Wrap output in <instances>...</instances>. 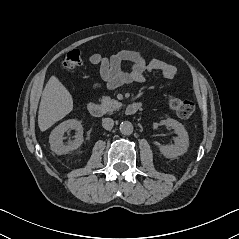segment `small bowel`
Returning <instances> with one entry per match:
<instances>
[{
    "instance_id": "1",
    "label": "small bowel",
    "mask_w": 239,
    "mask_h": 239,
    "mask_svg": "<svg viewBox=\"0 0 239 239\" xmlns=\"http://www.w3.org/2000/svg\"><path fill=\"white\" fill-rule=\"evenodd\" d=\"M123 61L131 62L129 71L122 70ZM89 62L99 66L102 81L94 84L93 89L96 91L114 90L124 84L142 83L145 73L159 72L163 78L169 80L177 75L175 66L158 59L147 61L132 50H120L110 57L94 53L89 57Z\"/></svg>"
}]
</instances>
